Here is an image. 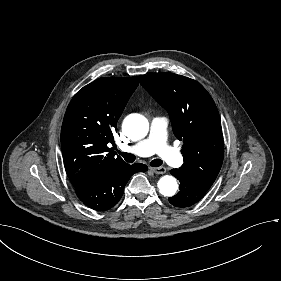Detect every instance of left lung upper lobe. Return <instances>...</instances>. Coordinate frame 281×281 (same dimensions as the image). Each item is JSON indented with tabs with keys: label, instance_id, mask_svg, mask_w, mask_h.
Returning a JSON list of instances; mask_svg holds the SVG:
<instances>
[{
	"label": "left lung upper lobe",
	"instance_id": "obj_1",
	"mask_svg": "<svg viewBox=\"0 0 281 281\" xmlns=\"http://www.w3.org/2000/svg\"><path fill=\"white\" fill-rule=\"evenodd\" d=\"M141 85L169 113L184 164L178 169L209 189L223 162L224 144L217 107L195 80L173 73L140 75Z\"/></svg>",
	"mask_w": 281,
	"mask_h": 281
}]
</instances>
